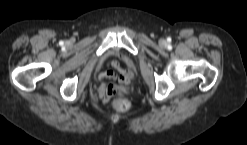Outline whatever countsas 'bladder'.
<instances>
[{
  "label": "bladder",
  "mask_w": 247,
  "mask_h": 145,
  "mask_svg": "<svg viewBox=\"0 0 247 145\" xmlns=\"http://www.w3.org/2000/svg\"><path fill=\"white\" fill-rule=\"evenodd\" d=\"M127 62H128V64H130V65H131V61H130V60H127Z\"/></svg>",
  "instance_id": "1"
}]
</instances>
